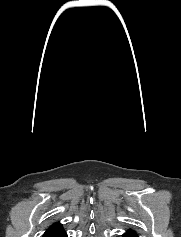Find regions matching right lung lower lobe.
<instances>
[{
    "label": "right lung lower lobe",
    "instance_id": "right-lung-lower-lobe-1",
    "mask_svg": "<svg viewBox=\"0 0 181 237\" xmlns=\"http://www.w3.org/2000/svg\"><path fill=\"white\" fill-rule=\"evenodd\" d=\"M59 237H67V234L64 232L63 234L59 235Z\"/></svg>",
    "mask_w": 181,
    "mask_h": 237
}]
</instances>
